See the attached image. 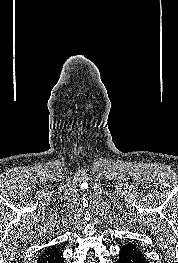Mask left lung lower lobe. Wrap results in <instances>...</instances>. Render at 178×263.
I'll return each instance as SVG.
<instances>
[{
  "label": "left lung lower lobe",
  "mask_w": 178,
  "mask_h": 263,
  "mask_svg": "<svg viewBox=\"0 0 178 263\" xmlns=\"http://www.w3.org/2000/svg\"><path fill=\"white\" fill-rule=\"evenodd\" d=\"M116 263H147V261L135 244L128 243L120 250Z\"/></svg>",
  "instance_id": "0a47b994"
}]
</instances>
